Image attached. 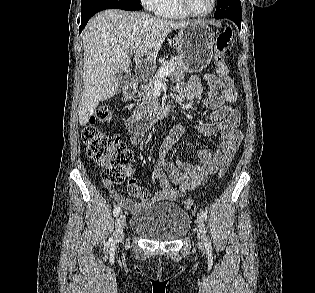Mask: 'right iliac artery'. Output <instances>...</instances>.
<instances>
[{"instance_id": "right-iliac-artery-1", "label": "right iliac artery", "mask_w": 315, "mask_h": 293, "mask_svg": "<svg viewBox=\"0 0 315 293\" xmlns=\"http://www.w3.org/2000/svg\"><path fill=\"white\" fill-rule=\"evenodd\" d=\"M120 210H121V207H120V206H116V207L114 208L113 215H114V216H117V215L119 214ZM107 246H111V247L114 246V239H113V237H111V238L108 240Z\"/></svg>"}]
</instances>
